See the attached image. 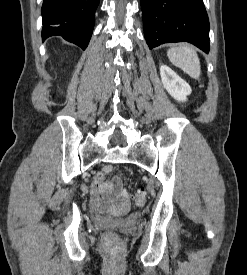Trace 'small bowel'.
<instances>
[{
  "instance_id": "obj_1",
  "label": "small bowel",
  "mask_w": 247,
  "mask_h": 275,
  "mask_svg": "<svg viewBox=\"0 0 247 275\" xmlns=\"http://www.w3.org/2000/svg\"><path fill=\"white\" fill-rule=\"evenodd\" d=\"M110 172V167L104 169V174ZM94 203L107 210L124 211L128 208L129 199L127 192L122 189L120 180L113 178L111 181L97 187L94 183L91 188Z\"/></svg>"
}]
</instances>
